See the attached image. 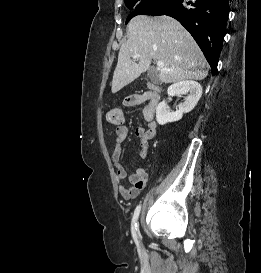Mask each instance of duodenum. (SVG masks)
<instances>
[{"label": "duodenum", "instance_id": "1", "mask_svg": "<svg viewBox=\"0 0 261 273\" xmlns=\"http://www.w3.org/2000/svg\"><path fill=\"white\" fill-rule=\"evenodd\" d=\"M149 90H150L149 93H150L151 103L155 105L160 98L161 89L158 85L151 84L149 87Z\"/></svg>", "mask_w": 261, "mask_h": 273}]
</instances>
